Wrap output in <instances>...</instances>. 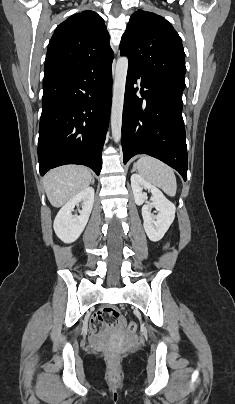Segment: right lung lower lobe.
I'll return each mask as SVG.
<instances>
[{"label": "right lung lower lobe", "mask_w": 235, "mask_h": 404, "mask_svg": "<svg viewBox=\"0 0 235 404\" xmlns=\"http://www.w3.org/2000/svg\"><path fill=\"white\" fill-rule=\"evenodd\" d=\"M111 65L43 81L41 176L65 164L85 165L100 174L112 99Z\"/></svg>", "instance_id": "obj_1"}]
</instances>
